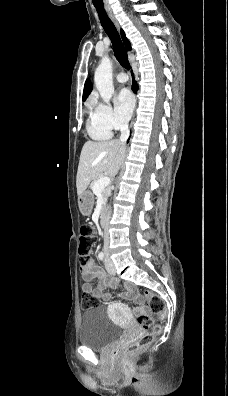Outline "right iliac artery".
Returning a JSON list of instances; mask_svg holds the SVG:
<instances>
[{"label":"right iliac artery","mask_w":228,"mask_h":396,"mask_svg":"<svg viewBox=\"0 0 228 396\" xmlns=\"http://www.w3.org/2000/svg\"><path fill=\"white\" fill-rule=\"evenodd\" d=\"M98 258H99V260H103L104 259V253L103 252H100L99 254H98Z\"/></svg>","instance_id":"right-iliac-artery-1"}]
</instances>
